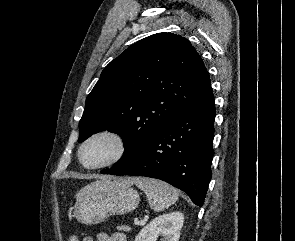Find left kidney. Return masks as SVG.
<instances>
[{
	"mask_svg": "<svg viewBox=\"0 0 295 241\" xmlns=\"http://www.w3.org/2000/svg\"><path fill=\"white\" fill-rule=\"evenodd\" d=\"M183 223L184 215L181 212L163 214L147 224L135 241H157L160 235L163 236L161 241H178Z\"/></svg>",
	"mask_w": 295,
	"mask_h": 241,
	"instance_id": "1",
	"label": "left kidney"
}]
</instances>
